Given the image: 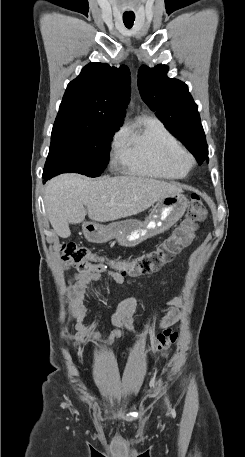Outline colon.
<instances>
[{
  "mask_svg": "<svg viewBox=\"0 0 245 457\" xmlns=\"http://www.w3.org/2000/svg\"><path fill=\"white\" fill-rule=\"evenodd\" d=\"M206 214L207 209L203 200L198 195H193L190 201V208L183 223L156 248L143 252L128 261H104L87 246L77 242L63 243L61 246V256L79 271L111 266L114 271L123 277L149 274L155 271L161 263L181 251L189 236L198 224L203 221ZM177 339V329L166 328L157 334L155 340L150 345V349L153 353L165 355L169 353Z\"/></svg>",
  "mask_w": 245,
  "mask_h": 457,
  "instance_id": "obj_1",
  "label": "colon"
}]
</instances>
